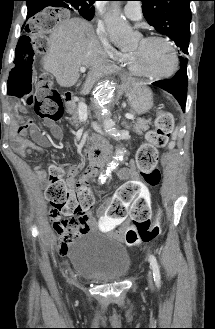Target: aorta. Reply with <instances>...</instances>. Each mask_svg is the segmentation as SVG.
Instances as JSON below:
<instances>
[{"mask_svg": "<svg viewBox=\"0 0 215 329\" xmlns=\"http://www.w3.org/2000/svg\"><path fill=\"white\" fill-rule=\"evenodd\" d=\"M105 26L111 40L115 45L121 48H128L133 45V30L128 24V22L120 15L118 2L113 3L112 10L105 18ZM112 98V89H110L109 86H102L96 93V97L94 98V105L102 114V126L104 131L108 135L118 140V129L115 128L114 122L110 118L106 117V113H104ZM124 154L125 151L123 149H117L115 151L113 161L110 163L108 169L106 170V173L102 174L99 177L101 183L106 180L110 170L113 169L119 163V161L123 159Z\"/></svg>", "mask_w": 215, "mask_h": 329, "instance_id": "1", "label": "aorta"}]
</instances>
